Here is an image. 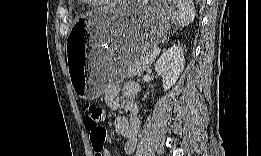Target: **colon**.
<instances>
[{"instance_id":"5ec220e1","label":"colon","mask_w":261,"mask_h":156,"mask_svg":"<svg viewBox=\"0 0 261 156\" xmlns=\"http://www.w3.org/2000/svg\"><path fill=\"white\" fill-rule=\"evenodd\" d=\"M81 111L84 126L90 132L92 148L98 154L104 146L106 139L105 129L101 125L104 118V110L96 104L87 102L82 104Z\"/></svg>"}]
</instances>
